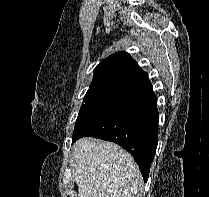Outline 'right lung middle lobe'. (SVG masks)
Wrapping results in <instances>:
<instances>
[{
  "label": "right lung middle lobe",
  "mask_w": 209,
  "mask_h": 197,
  "mask_svg": "<svg viewBox=\"0 0 209 197\" xmlns=\"http://www.w3.org/2000/svg\"><path fill=\"white\" fill-rule=\"evenodd\" d=\"M138 94V91L119 84L91 83L83 99L84 104L80 108L73 133Z\"/></svg>",
  "instance_id": "obj_1"
}]
</instances>
